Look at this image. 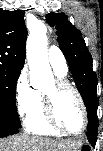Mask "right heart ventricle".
I'll return each mask as SVG.
<instances>
[{"label":"right heart ventricle","mask_w":103,"mask_h":151,"mask_svg":"<svg viewBox=\"0 0 103 151\" xmlns=\"http://www.w3.org/2000/svg\"><path fill=\"white\" fill-rule=\"evenodd\" d=\"M54 72L59 79L64 80L66 73H60L56 70ZM24 126L28 132L36 135L58 136L61 134L48 125L44 114L43 95L39 91H35V104L28 116L25 117Z\"/></svg>","instance_id":"1"}]
</instances>
